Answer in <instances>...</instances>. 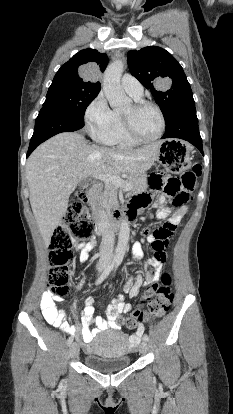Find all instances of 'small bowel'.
Wrapping results in <instances>:
<instances>
[{"mask_svg":"<svg viewBox=\"0 0 233 414\" xmlns=\"http://www.w3.org/2000/svg\"><path fill=\"white\" fill-rule=\"evenodd\" d=\"M149 203V196L138 195L133 200L132 211L136 213V211L147 207ZM163 203L164 197L160 196L158 198V204L162 206ZM187 210L188 208L185 205L178 207L174 214L169 218L166 225H172L174 227L178 225L184 215L187 213ZM159 215L160 217H166L168 215V211L165 208H161ZM94 245V241L77 245V249L79 250V260L81 262H84L88 259L89 251L94 247ZM133 256L135 260L139 259L142 256V250L138 244H135L133 247ZM162 264L163 262L156 263L152 270H146L144 274L145 280H143L142 273L139 272L135 279V282L126 285V289L129 292L130 298L136 297L142 286H145L147 288L159 280ZM60 303H62V299L60 297L52 295L48 292H44L40 300V308L43 317L49 324L58 327L79 339L82 343V346L86 350L90 349V344L99 331L105 330L108 327H117L116 320L119 314L127 309V304L124 301V297L122 295H119L117 298L112 299L109 304L104 306V310L102 311L103 318L100 316L94 317L96 299L94 297H87L84 301V308L81 318L82 329L80 330L75 325H70L65 320L66 312L59 306ZM93 324L96 326L94 329L91 327ZM143 331V325L139 324L136 335L131 337V342H136Z\"/></svg>","mask_w":233,"mask_h":414,"instance_id":"obj_1","label":"small bowel"}]
</instances>
